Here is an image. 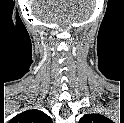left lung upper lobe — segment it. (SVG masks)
Returning a JSON list of instances; mask_svg holds the SVG:
<instances>
[{
    "label": "left lung upper lobe",
    "instance_id": "obj_1",
    "mask_svg": "<svg viewBox=\"0 0 124 123\" xmlns=\"http://www.w3.org/2000/svg\"><path fill=\"white\" fill-rule=\"evenodd\" d=\"M107 118L96 113L85 114L80 120L79 123H106Z\"/></svg>",
    "mask_w": 124,
    "mask_h": 123
}]
</instances>
